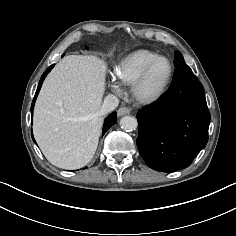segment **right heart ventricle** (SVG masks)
Returning <instances> with one entry per match:
<instances>
[{
	"label": "right heart ventricle",
	"mask_w": 236,
	"mask_h": 236,
	"mask_svg": "<svg viewBox=\"0 0 236 236\" xmlns=\"http://www.w3.org/2000/svg\"><path fill=\"white\" fill-rule=\"evenodd\" d=\"M158 56L148 49L133 51L116 64L114 75L121 84L132 85L145 66Z\"/></svg>",
	"instance_id": "e07e8e85"
}]
</instances>
